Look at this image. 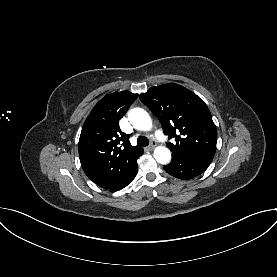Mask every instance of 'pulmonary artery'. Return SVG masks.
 <instances>
[{"mask_svg":"<svg viewBox=\"0 0 277 277\" xmlns=\"http://www.w3.org/2000/svg\"><path fill=\"white\" fill-rule=\"evenodd\" d=\"M156 136H157V138H159L160 140H164V136H163V134H162L161 132L156 131Z\"/></svg>","mask_w":277,"mask_h":277,"instance_id":"obj_1","label":"pulmonary artery"}]
</instances>
